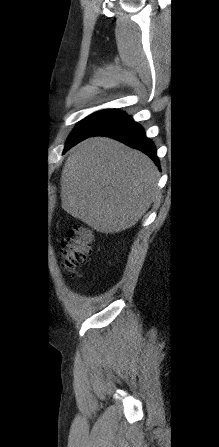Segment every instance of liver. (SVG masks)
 Wrapping results in <instances>:
<instances>
[{
  "mask_svg": "<svg viewBox=\"0 0 219 447\" xmlns=\"http://www.w3.org/2000/svg\"><path fill=\"white\" fill-rule=\"evenodd\" d=\"M159 173L145 154L105 137L71 149L62 170V208L100 233L134 226L157 199Z\"/></svg>",
  "mask_w": 219,
  "mask_h": 447,
  "instance_id": "1",
  "label": "liver"
}]
</instances>
